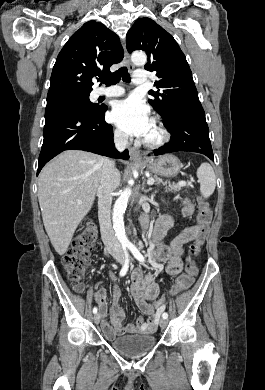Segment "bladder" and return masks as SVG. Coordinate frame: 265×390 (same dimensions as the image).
<instances>
[{"label": "bladder", "mask_w": 265, "mask_h": 390, "mask_svg": "<svg viewBox=\"0 0 265 390\" xmlns=\"http://www.w3.org/2000/svg\"><path fill=\"white\" fill-rule=\"evenodd\" d=\"M111 347L128 358H135L148 353L156 344L153 335H119L109 339Z\"/></svg>", "instance_id": "31cf9c89"}]
</instances>
